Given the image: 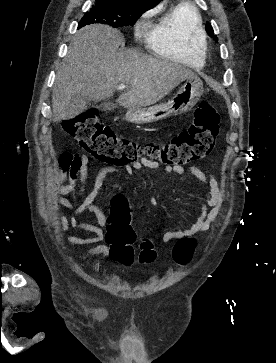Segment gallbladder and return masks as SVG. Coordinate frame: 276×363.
I'll return each instance as SVG.
<instances>
[{"label": "gallbladder", "instance_id": "obj_1", "mask_svg": "<svg viewBox=\"0 0 276 363\" xmlns=\"http://www.w3.org/2000/svg\"><path fill=\"white\" fill-rule=\"evenodd\" d=\"M89 101L75 96L72 98L70 105L68 107V112H71L73 118L79 114H81L87 107Z\"/></svg>", "mask_w": 276, "mask_h": 363}]
</instances>
